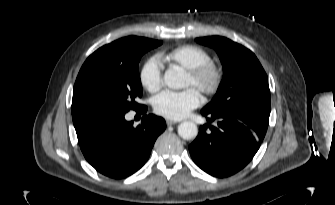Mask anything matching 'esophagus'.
Instances as JSON below:
<instances>
[{"label": "esophagus", "mask_w": 335, "mask_h": 205, "mask_svg": "<svg viewBox=\"0 0 335 205\" xmlns=\"http://www.w3.org/2000/svg\"><path fill=\"white\" fill-rule=\"evenodd\" d=\"M166 123L168 126H171V125H174L176 123H178L177 121H174V120H166Z\"/></svg>", "instance_id": "34e87169"}]
</instances>
